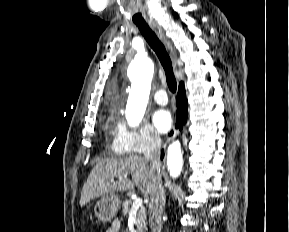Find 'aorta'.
I'll return each mask as SVG.
<instances>
[{"instance_id": "obj_1", "label": "aorta", "mask_w": 289, "mask_h": 232, "mask_svg": "<svg viewBox=\"0 0 289 232\" xmlns=\"http://www.w3.org/2000/svg\"><path fill=\"white\" fill-rule=\"evenodd\" d=\"M131 91L126 107V117L131 126H136L142 120L149 99L154 65L151 59L137 56L130 64ZM167 166L170 176L177 178L183 168V158L180 143L173 142L167 150Z\"/></svg>"}]
</instances>
